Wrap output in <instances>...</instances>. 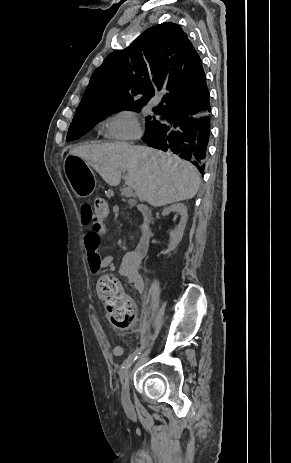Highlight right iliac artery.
Listing matches in <instances>:
<instances>
[{"label":"right iliac artery","instance_id":"82829eb1","mask_svg":"<svg viewBox=\"0 0 291 463\" xmlns=\"http://www.w3.org/2000/svg\"><path fill=\"white\" fill-rule=\"evenodd\" d=\"M143 349V347H140L138 349H136L128 358L127 360L124 362L123 366H122V369H121V381L122 383H126L127 382V370L128 368L131 366V364L137 359L138 355L140 354L141 350Z\"/></svg>","mask_w":291,"mask_h":463}]
</instances>
